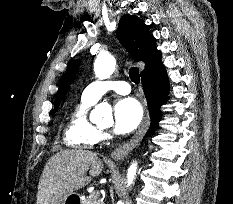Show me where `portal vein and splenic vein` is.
Returning <instances> with one entry per match:
<instances>
[{
	"label": "portal vein and splenic vein",
	"instance_id": "obj_1",
	"mask_svg": "<svg viewBox=\"0 0 233 204\" xmlns=\"http://www.w3.org/2000/svg\"><path fill=\"white\" fill-rule=\"evenodd\" d=\"M91 196L93 197H99V191L95 190L91 193Z\"/></svg>",
	"mask_w": 233,
	"mask_h": 204
}]
</instances>
